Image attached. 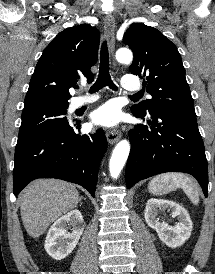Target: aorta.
Returning a JSON list of instances; mask_svg holds the SVG:
<instances>
[{"label":"aorta","mask_w":215,"mask_h":274,"mask_svg":"<svg viewBox=\"0 0 215 274\" xmlns=\"http://www.w3.org/2000/svg\"><path fill=\"white\" fill-rule=\"evenodd\" d=\"M116 59L123 64L132 62V52L127 48H121L116 52ZM130 152V144L127 140L120 141L114 148L110 162L109 170L113 178H117L123 169Z\"/></svg>","instance_id":"762f6f07"}]
</instances>
